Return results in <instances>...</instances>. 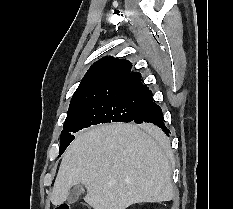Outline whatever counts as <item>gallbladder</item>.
<instances>
[{"instance_id": "1", "label": "gallbladder", "mask_w": 233, "mask_h": 209, "mask_svg": "<svg viewBox=\"0 0 233 209\" xmlns=\"http://www.w3.org/2000/svg\"><path fill=\"white\" fill-rule=\"evenodd\" d=\"M83 192L84 188L82 184L73 186L69 191L67 201L71 204L75 203Z\"/></svg>"}]
</instances>
